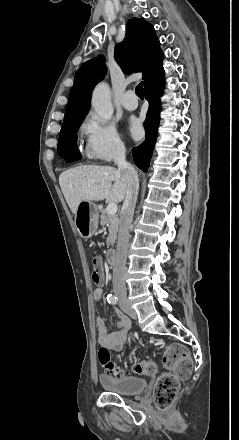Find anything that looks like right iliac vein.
<instances>
[{
	"label": "right iliac vein",
	"instance_id": "obj_1",
	"mask_svg": "<svg viewBox=\"0 0 239 440\" xmlns=\"http://www.w3.org/2000/svg\"><path fill=\"white\" fill-rule=\"evenodd\" d=\"M121 307L132 318H136L137 317V314H136L135 310L129 305L128 302L123 301L121 303Z\"/></svg>",
	"mask_w": 239,
	"mask_h": 440
}]
</instances>
